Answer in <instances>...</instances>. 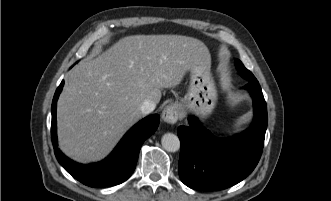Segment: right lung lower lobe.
<instances>
[{"mask_svg": "<svg viewBox=\"0 0 331 201\" xmlns=\"http://www.w3.org/2000/svg\"><path fill=\"white\" fill-rule=\"evenodd\" d=\"M64 85L61 82L52 101L51 137L54 153L62 167L75 179L90 187H106L118 185L127 180L133 173L140 148L159 125V115L148 116L134 125L122 138L114 151L103 161L82 165L67 158L57 148L56 105Z\"/></svg>", "mask_w": 331, "mask_h": 201, "instance_id": "98d812e1", "label": "right lung lower lobe"}]
</instances>
